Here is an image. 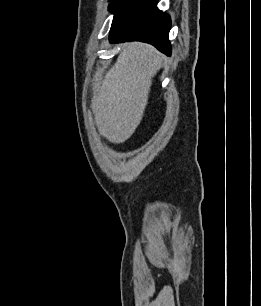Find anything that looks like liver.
<instances>
[{
  "label": "liver",
  "instance_id": "6515ba94",
  "mask_svg": "<svg viewBox=\"0 0 261 306\" xmlns=\"http://www.w3.org/2000/svg\"><path fill=\"white\" fill-rule=\"evenodd\" d=\"M163 55L153 46L132 42L122 45L116 63L106 72L92 99L99 134L112 143H123L140 124Z\"/></svg>",
  "mask_w": 261,
  "mask_h": 306
}]
</instances>
